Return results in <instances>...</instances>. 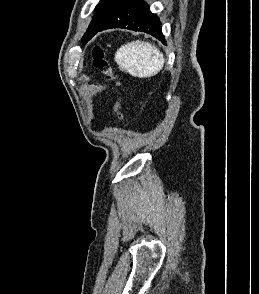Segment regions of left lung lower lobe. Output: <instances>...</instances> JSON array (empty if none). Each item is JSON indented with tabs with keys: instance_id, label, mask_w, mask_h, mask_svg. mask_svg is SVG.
<instances>
[{
	"instance_id": "obj_1",
	"label": "left lung lower lobe",
	"mask_w": 259,
	"mask_h": 294,
	"mask_svg": "<svg viewBox=\"0 0 259 294\" xmlns=\"http://www.w3.org/2000/svg\"><path fill=\"white\" fill-rule=\"evenodd\" d=\"M111 28L146 32L165 43L158 17L150 12L149 6L143 0H128L117 6L96 33Z\"/></svg>"
}]
</instances>
